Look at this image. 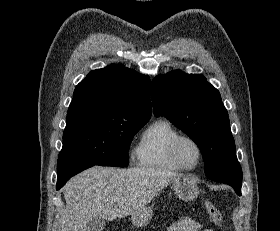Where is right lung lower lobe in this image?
I'll return each instance as SVG.
<instances>
[{
	"label": "right lung lower lobe",
	"mask_w": 280,
	"mask_h": 231,
	"mask_svg": "<svg viewBox=\"0 0 280 231\" xmlns=\"http://www.w3.org/2000/svg\"><path fill=\"white\" fill-rule=\"evenodd\" d=\"M92 166L94 165L88 163L58 161L56 189L59 190L72 176Z\"/></svg>",
	"instance_id": "98d812e1"
}]
</instances>
